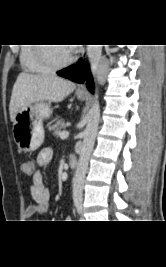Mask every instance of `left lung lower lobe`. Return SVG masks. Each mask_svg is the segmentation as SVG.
<instances>
[{"label":"left lung lower lobe","mask_w":166,"mask_h":267,"mask_svg":"<svg viewBox=\"0 0 166 267\" xmlns=\"http://www.w3.org/2000/svg\"><path fill=\"white\" fill-rule=\"evenodd\" d=\"M61 77L67 78L74 82L83 84L85 82L87 88L93 93L94 83L88 65L81 60L77 65L67 67L57 72Z\"/></svg>","instance_id":"obj_1"}]
</instances>
